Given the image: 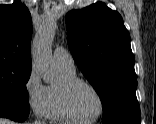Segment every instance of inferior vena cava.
Masks as SVG:
<instances>
[{
    "label": "inferior vena cava",
    "instance_id": "1",
    "mask_svg": "<svg viewBox=\"0 0 156 124\" xmlns=\"http://www.w3.org/2000/svg\"><path fill=\"white\" fill-rule=\"evenodd\" d=\"M33 124H44V122H42L41 120H35Z\"/></svg>",
    "mask_w": 156,
    "mask_h": 124
}]
</instances>
